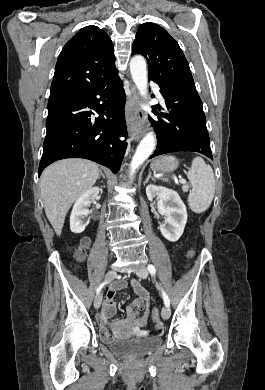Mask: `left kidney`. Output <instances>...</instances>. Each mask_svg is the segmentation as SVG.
<instances>
[{"label": "left kidney", "instance_id": "1", "mask_svg": "<svg viewBox=\"0 0 265 390\" xmlns=\"http://www.w3.org/2000/svg\"><path fill=\"white\" fill-rule=\"evenodd\" d=\"M146 195L150 201L157 196V211L166 217L165 223L160 225L163 237L170 242L179 240L187 222V210L178 193L163 186L150 184L146 187Z\"/></svg>", "mask_w": 265, "mask_h": 390}]
</instances>
